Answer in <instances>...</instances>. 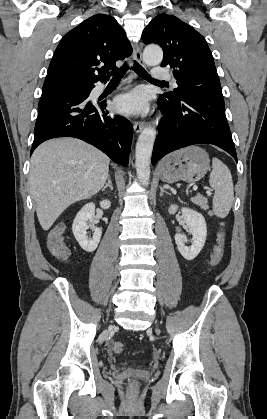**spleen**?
<instances>
[{"mask_svg":"<svg viewBox=\"0 0 267 419\" xmlns=\"http://www.w3.org/2000/svg\"><path fill=\"white\" fill-rule=\"evenodd\" d=\"M209 184L215 190L213 197L214 214L219 218H225L229 214L234 201V188L230 170L218 158L212 159Z\"/></svg>","mask_w":267,"mask_h":419,"instance_id":"obj_1","label":"spleen"}]
</instances>
